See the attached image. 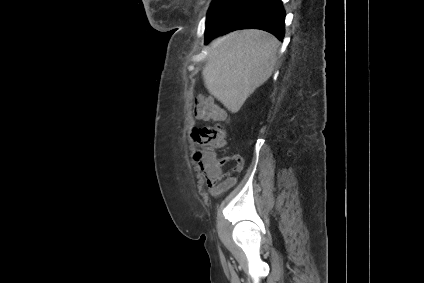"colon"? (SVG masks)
Returning <instances> with one entry per match:
<instances>
[{"mask_svg":"<svg viewBox=\"0 0 424 283\" xmlns=\"http://www.w3.org/2000/svg\"><path fill=\"white\" fill-rule=\"evenodd\" d=\"M194 113L199 119L217 122L215 125L195 129L193 132L195 141L203 146V149L196 153L195 158L201 160L204 165L214 166L218 161L215 150L224 147L227 141V132L220 124L226 120L225 113L206 97L198 99Z\"/></svg>","mask_w":424,"mask_h":283,"instance_id":"1","label":"colon"}]
</instances>
